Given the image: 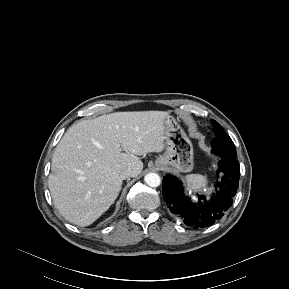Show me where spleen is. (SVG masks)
I'll return each instance as SVG.
<instances>
[{
    "label": "spleen",
    "instance_id": "1",
    "mask_svg": "<svg viewBox=\"0 0 289 289\" xmlns=\"http://www.w3.org/2000/svg\"><path fill=\"white\" fill-rule=\"evenodd\" d=\"M184 182L190 191L206 192L208 180L201 174H191L184 177Z\"/></svg>",
    "mask_w": 289,
    "mask_h": 289
}]
</instances>
